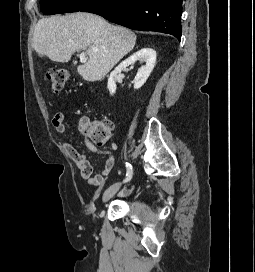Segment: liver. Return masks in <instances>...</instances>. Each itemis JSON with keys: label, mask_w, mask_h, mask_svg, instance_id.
Instances as JSON below:
<instances>
[{"label": "liver", "mask_w": 255, "mask_h": 272, "mask_svg": "<svg viewBox=\"0 0 255 272\" xmlns=\"http://www.w3.org/2000/svg\"><path fill=\"white\" fill-rule=\"evenodd\" d=\"M136 35L92 13H72L38 21L33 48L55 62H68L74 52L85 50L88 61L77 72L89 82L101 80L135 46Z\"/></svg>", "instance_id": "liver-1"}]
</instances>
